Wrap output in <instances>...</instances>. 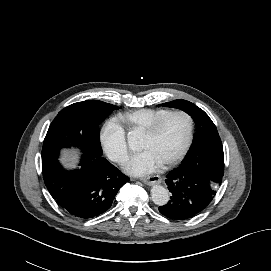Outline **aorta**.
<instances>
[{
    "label": "aorta",
    "mask_w": 271,
    "mask_h": 271,
    "mask_svg": "<svg viewBox=\"0 0 271 271\" xmlns=\"http://www.w3.org/2000/svg\"><path fill=\"white\" fill-rule=\"evenodd\" d=\"M151 199L156 205L163 206L169 201V191L162 185H153Z\"/></svg>",
    "instance_id": "1"
}]
</instances>
